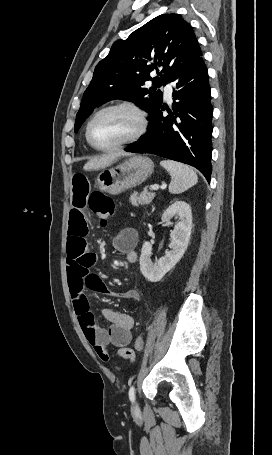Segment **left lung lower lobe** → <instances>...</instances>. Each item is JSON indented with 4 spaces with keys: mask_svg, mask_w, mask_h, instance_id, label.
Here are the masks:
<instances>
[{
    "mask_svg": "<svg viewBox=\"0 0 272 455\" xmlns=\"http://www.w3.org/2000/svg\"><path fill=\"white\" fill-rule=\"evenodd\" d=\"M173 111L158 105L150 114L148 131L132 146L134 153H152L197 168L210 182L213 107L208 71L202 55L173 74ZM169 112L163 116V110Z\"/></svg>",
    "mask_w": 272,
    "mask_h": 455,
    "instance_id": "0a47b994",
    "label": "left lung lower lobe"
}]
</instances>
